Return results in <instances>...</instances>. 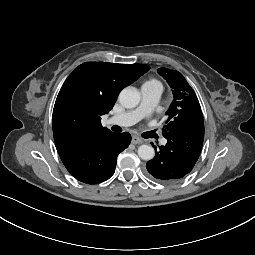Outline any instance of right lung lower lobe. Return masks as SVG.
Segmentation results:
<instances>
[{"instance_id": "obj_1", "label": "right lung lower lobe", "mask_w": 255, "mask_h": 255, "mask_svg": "<svg viewBox=\"0 0 255 255\" xmlns=\"http://www.w3.org/2000/svg\"><path fill=\"white\" fill-rule=\"evenodd\" d=\"M130 142L128 132H112L83 140L58 153L66 169L77 180L97 184L114 174L117 156Z\"/></svg>"}]
</instances>
